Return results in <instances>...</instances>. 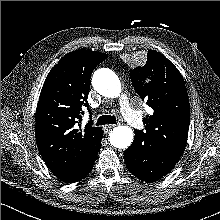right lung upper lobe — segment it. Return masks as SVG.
Masks as SVG:
<instances>
[{
    "label": "right lung upper lobe",
    "mask_w": 220,
    "mask_h": 220,
    "mask_svg": "<svg viewBox=\"0 0 220 220\" xmlns=\"http://www.w3.org/2000/svg\"><path fill=\"white\" fill-rule=\"evenodd\" d=\"M107 56L92 50L66 54L51 69L41 90L35 118L36 142L46 165L62 181L79 175L101 136L102 129L93 127L92 121L80 131L75 124L84 114L82 105L88 108L92 71Z\"/></svg>",
    "instance_id": "cb5924a9"
}]
</instances>
